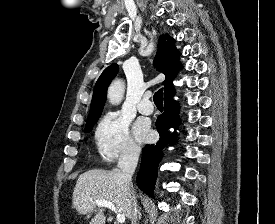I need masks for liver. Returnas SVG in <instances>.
<instances>
[{
	"instance_id": "6515ba94",
	"label": "liver",
	"mask_w": 275,
	"mask_h": 224,
	"mask_svg": "<svg viewBox=\"0 0 275 224\" xmlns=\"http://www.w3.org/2000/svg\"><path fill=\"white\" fill-rule=\"evenodd\" d=\"M96 200L112 202L118 212L130 219L129 195L119 169H94L79 176L73 192V208L81 215L95 212L89 224H105L103 208L96 209Z\"/></svg>"
}]
</instances>
